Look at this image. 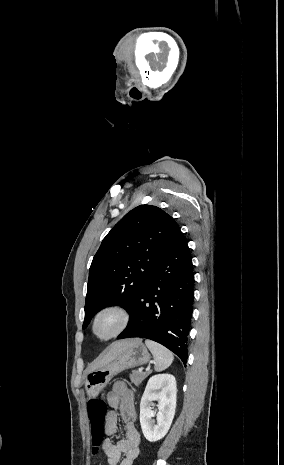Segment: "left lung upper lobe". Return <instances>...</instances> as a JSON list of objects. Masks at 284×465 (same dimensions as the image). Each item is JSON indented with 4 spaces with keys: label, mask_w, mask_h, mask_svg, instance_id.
<instances>
[{
    "label": "left lung upper lobe",
    "mask_w": 284,
    "mask_h": 465,
    "mask_svg": "<svg viewBox=\"0 0 284 465\" xmlns=\"http://www.w3.org/2000/svg\"><path fill=\"white\" fill-rule=\"evenodd\" d=\"M179 233L176 221L156 206L140 205L127 213L103 239L91 263L83 328L108 305L121 303L129 311Z\"/></svg>",
    "instance_id": "obj_1"
}]
</instances>
